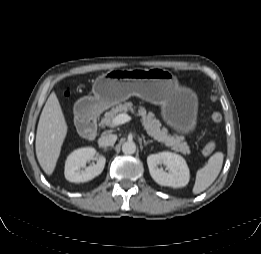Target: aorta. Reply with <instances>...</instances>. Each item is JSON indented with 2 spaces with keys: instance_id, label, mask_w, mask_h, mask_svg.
I'll list each match as a JSON object with an SVG mask.
<instances>
[{
  "instance_id": "obj_1",
  "label": "aorta",
  "mask_w": 261,
  "mask_h": 254,
  "mask_svg": "<svg viewBox=\"0 0 261 254\" xmlns=\"http://www.w3.org/2000/svg\"><path fill=\"white\" fill-rule=\"evenodd\" d=\"M136 151V144L133 141H126L122 145V152L124 154H134Z\"/></svg>"
}]
</instances>
